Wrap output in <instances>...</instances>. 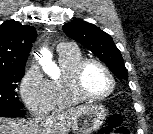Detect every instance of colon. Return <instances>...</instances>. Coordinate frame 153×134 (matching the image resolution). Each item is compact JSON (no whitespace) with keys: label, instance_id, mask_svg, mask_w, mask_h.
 <instances>
[{"label":"colon","instance_id":"colon-1","mask_svg":"<svg viewBox=\"0 0 153 134\" xmlns=\"http://www.w3.org/2000/svg\"><path fill=\"white\" fill-rule=\"evenodd\" d=\"M103 134H129V129L123 124V119L120 114H113L102 130Z\"/></svg>","mask_w":153,"mask_h":134}]
</instances>
